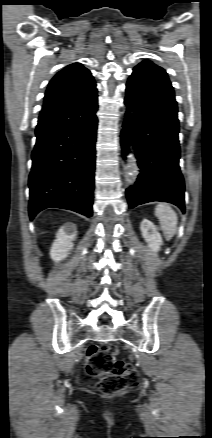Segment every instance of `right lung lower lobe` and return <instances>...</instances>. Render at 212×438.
Wrapping results in <instances>:
<instances>
[{"label":"right lung lower lobe","mask_w":212,"mask_h":438,"mask_svg":"<svg viewBox=\"0 0 212 438\" xmlns=\"http://www.w3.org/2000/svg\"><path fill=\"white\" fill-rule=\"evenodd\" d=\"M97 95L40 112L29 176V215L47 208L92 216Z\"/></svg>","instance_id":"1"}]
</instances>
